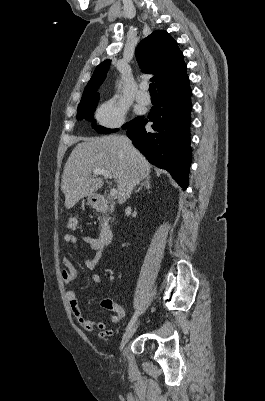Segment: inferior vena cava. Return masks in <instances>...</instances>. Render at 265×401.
Returning a JSON list of instances; mask_svg holds the SVG:
<instances>
[{
  "label": "inferior vena cava",
  "instance_id": "obj_1",
  "mask_svg": "<svg viewBox=\"0 0 265 401\" xmlns=\"http://www.w3.org/2000/svg\"><path fill=\"white\" fill-rule=\"evenodd\" d=\"M126 142H128V144H131V140H129V138H126ZM136 182H138V178H136V176H133V178H131V182L130 184H127L126 188H125V196L126 198H129Z\"/></svg>",
  "mask_w": 265,
  "mask_h": 401
}]
</instances>
